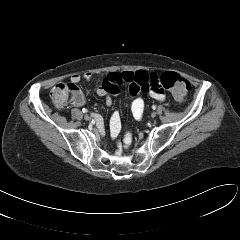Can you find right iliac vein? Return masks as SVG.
<instances>
[{
	"label": "right iliac vein",
	"mask_w": 240,
	"mask_h": 240,
	"mask_svg": "<svg viewBox=\"0 0 240 240\" xmlns=\"http://www.w3.org/2000/svg\"><path fill=\"white\" fill-rule=\"evenodd\" d=\"M84 119H85L86 121H89V120L91 119V117L86 114V115L84 116Z\"/></svg>",
	"instance_id": "obj_1"
}]
</instances>
